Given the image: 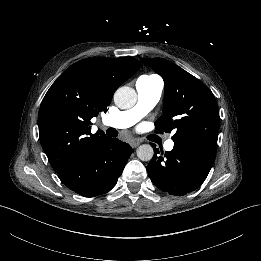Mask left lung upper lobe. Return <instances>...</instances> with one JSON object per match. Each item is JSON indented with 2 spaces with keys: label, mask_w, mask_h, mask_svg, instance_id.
Segmentation results:
<instances>
[{
  "label": "left lung upper lobe",
  "mask_w": 261,
  "mask_h": 261,
  "mask_svg": "<svg viewBox=\"0 0 261 261\" xmlns=\"http://www.w3.org/2000/svg\"><path fill=\"white\" fill-rule=\"evenodd\" d=\"M164 80L163 116L156 122V132H171L174 142L202 139L217 144L220 118L216 99L199 79L163 58H143Z\"/></svg>",
  "instance_id": "obj_1"
}]
</instances>
